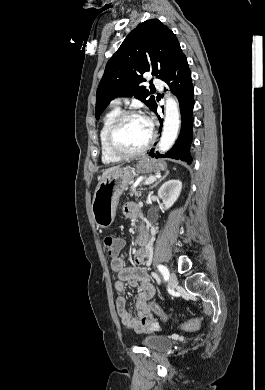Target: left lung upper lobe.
<instances>
[{"label":"left lung upper lobe","mask_w":265,"mask_h":390,"mask_svg":"<svg viewBox=\"0 0 265 390\" xmlns=\"http://www.w3.org/2000/svg\"><path fill=\"white\" fill-rule=\"evenodd\" d=\"M181 53L175 34L162 22L151 19L140 23L106 64L97 89L96 118L111 100L120 96H134L153 111L156 100L141 85L145 81L142 75L151 71L153 76L165 80Z\"/></svg>","instance_id":"left-lung-upper-lobe-1"}]
</instances>
